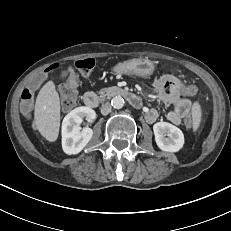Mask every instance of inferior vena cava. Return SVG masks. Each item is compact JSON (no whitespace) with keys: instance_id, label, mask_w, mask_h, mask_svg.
<instances>
[{"instance_id":"inferior-vena-cava-1","label":"inferior vena cava","mask_w":231,"mask_h":231,"mask_svg":"<svg viewBox=\"0 0 231 231\" xmlns=\"http://www.w3.org/2000/svg\"><path fill=\"white\" fill-rule=\"evenodd\" d=\"M111 105L110 103H105L101 107V114L102 115H108L111 112Z\"/></svg>"}]
</instances>
